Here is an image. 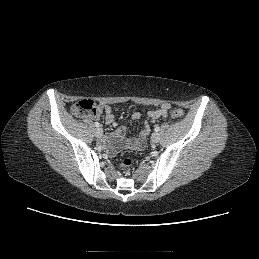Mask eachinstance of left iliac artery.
I'll list each match as a JSON object with an SVG mask.
<instances>
[{"instance_id": "left-iliac-artery-1", "label": "left iliac artery", "mask_w": 259, "mask_h": 259, "mask_svg": "<svg viewBox=\"0 0 259 259\" xmlns=\"http://www.w3.org/2000/svg\"><path fill=\"white\" fill-rule=\"evenodd\" d=\"M154 130L158 132L160 130V127L158 125L155 126Z\"/></svg>"}]
</instances>
